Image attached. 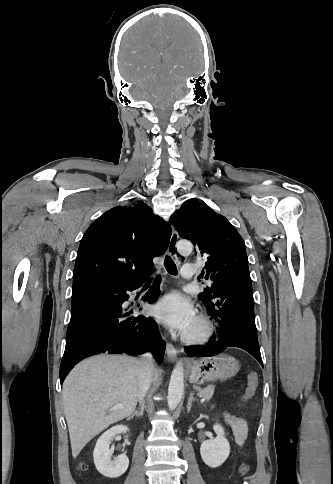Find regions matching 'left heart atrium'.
Returning <instances> with one entry per match:
<instances>
[{
  "instance_id": "1",
  "label": "left heart atrium",
  "mask_w": 333,
  "mask_h": 484,
  "mask_svg": "<svg viewBox=\"0 0 333 484\" xmlns=\"http://www.w3.org/2000/svg\"><path fill=\"white\" fill-rule=\"evenodd\" d=\"M152 313L159 321L182 333H186L197 317L191 300L179 291L170 292L159 299Z\"/></svg>"
}]
</instances>
